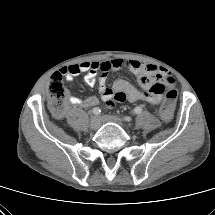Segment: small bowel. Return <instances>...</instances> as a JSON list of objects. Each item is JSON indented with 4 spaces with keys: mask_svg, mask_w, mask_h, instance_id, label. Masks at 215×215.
Listing matches in <instances>:
<instances>
[{
    "mask_svg": "<svg viewBox=\"0 0 215 215\" xmlns=\"http://www.w3.org/2000/svg\"><path fill=\"white\" fill-rule=\"evenodd\" d=\"M122 67L128 68L137 76L138 83L142 90L137 89L125 80H116L111 86L107 85V74L109 71H116ZM66 80L71 81L75 76L85 73V82L87 85L98 86L101 99L111 107L113 102H136L143 101L152 105L161 102V93L153 91L155 84L169 85L166 78H172L165 69L161 67L143 63L138 60L112 59L104 62H82L63 67L58 72ZM174 83V80H173ZM173 85V84H172ZM68 102L72 106L90 107L98 103L96 97L81 99L76 96H70Z\"/></svg>",
    "mask_w": 215,
    "mask_h": 215,
    "instance_id": "c3829d8e",
    "label": "small bowel"
}]
</instances>
